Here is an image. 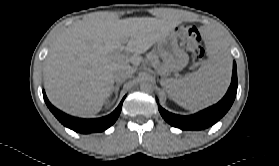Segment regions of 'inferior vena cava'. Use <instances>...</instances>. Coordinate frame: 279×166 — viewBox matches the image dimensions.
Returning <instances> with one entry per match:
<instances>
[{
    "instance_id": "1",
    "label": "inferior vena cava",
    "mask_w": 279,
    "mask_h": 166,
    "mask_svg": "<svg viewBox=\"0 0 279 166\" xmlns=\"http://www.w3.org/2000/svg\"><path fill=\"white\" fill-rule=\"evenodd\" d=\"M135 72V69L131 66H126L118 69L114 73V79L117 83L124 82L126 79H128L133 73Z\"/></svg>"
}]
</instances>
